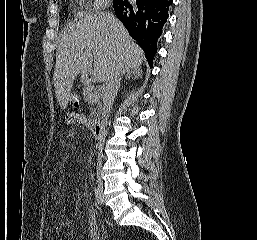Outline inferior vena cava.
Wrapping results in <instances>:
<instances>
[{"mask_svg":"<svg viewBox=\"0 0 257 240\" xmlns=\"http://www.w3.org/2000/svg\"><path fill=\"white\" fill-rule=\"evenodd\" d=\"M123 73L122 68V62L119 55V52L117 51L116 55L114 56V62L112 69L110 71V74L106 80V83L103 87V106H102V128L103 132L100 137V144L102 145L104 143L105 139V125H107V120L110 114V111L112 109V105L114 102V98L117 94L120 80H121V74ZM101 167V157L98 158V169Z\"/></svg>","mask_w":257,"mask_h":240,"instance_id":"1","label":"inferior vena cava"}]
</instances>
